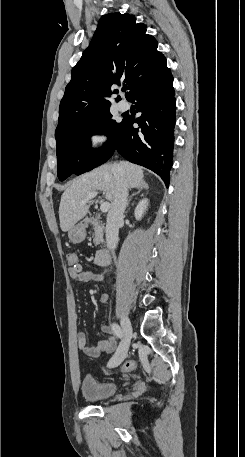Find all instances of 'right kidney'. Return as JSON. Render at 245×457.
<instances>
[{"instance_id":"right-kidney-1","label":"right kidney","mask_w":245,"mask_h":457,"mask_svg":"<svg viewBox=\"0 0 245 457\" xmlns=\"http://www.w3.org/2000/svg\"><path fill=\"white\" fill-rule=\"evenodd\" d=\"M149 206V200L148 198H142L140 202H138L135 210H134V216L136 220H141L144 212H146L147 208Z\"/></svg>"}]
</instances>
